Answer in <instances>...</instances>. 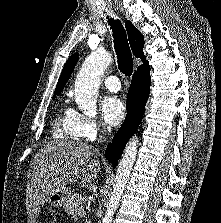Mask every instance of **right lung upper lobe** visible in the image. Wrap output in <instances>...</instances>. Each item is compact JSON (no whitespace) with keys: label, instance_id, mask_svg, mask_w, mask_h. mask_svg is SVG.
<instances>
[{"label":"right lung upper lobe","instance_id":"right-lung-upper-lobe-1","mask_svg":"<svg viewBox=\"0 0 221 223\" xmlns=\"http://www.w3.org/2000/svg\"><path fill=\"white\" fill-rule=\"evenodd\" d=\"M125 27L127 30L128 39L133 54L136 57L141 58V60L143 61V65L139 66L137 71L149 70L150 67L148 65V62L145 60V56L143 54L144 38L142 34L129 21L125 22ZM77 60H78V53H75L65 63L55 89V96L61 93V91L63 90L66 82L68 81L69 77L72 74V71L77 63Z\"/></svg>","mask_w":221,"mask_h":223}]
</instances>
